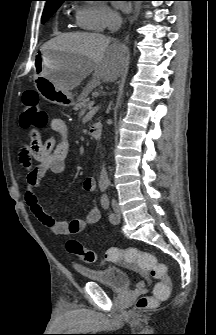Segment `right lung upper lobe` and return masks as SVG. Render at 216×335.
<instances>
[{"label":"right lung upper lobe","instance_id":"1","mask_svg":"<svg viewBox=\"0 0 216 335\" xmlns=\"http://www.w3.org/2000/svg\"><path fill=\"white\" fill-rule=\"evenodd\" d=\"M45 1H46V6H47V5L57 4V3H63L66 0H45Z\"/></svg>","mask_w":216,"mask_h":335}]
</instances>
